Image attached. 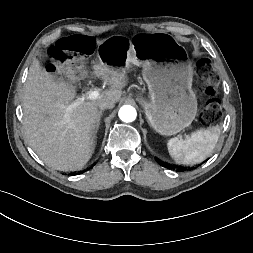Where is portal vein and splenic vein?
Returning <instances> with one entry per match:
<instances>
[{
  "mask_svg": "<svg viewBox=\"0 0 253 253\" xmlns=\"http://www.w3.org/2000/svg\"><path fill=\"white\" fill-rule=\"evenodd\" d=\"M100 97L99 91H88L85 97H82L81 99H88V100H96Z\"/></svg>",
  "mask_w": 253,
  "mask_h": 253,
  "instance_id": "1",
  "label": "portal vein and splenic vein"
}]
</instances>
